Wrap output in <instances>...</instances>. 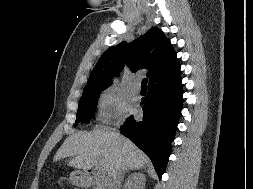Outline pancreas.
Returning <instances> with one entry per match:
<instances>
[{
	"mask_svg": "<svg viewBox=\"0 0 253 189\" xmlns=\"http://www.w3.org/2000/svg\"><path fill=\"white\" fill-rule=\"evenodd\" d=\"M93 189H102V185L101 184H97L96 187H94Z\"/></svg>",
	"mask_w": 253,
	"mask_h": 189,
	"instance_id": "obj_1",
	"label": "pancreas"
}]
</instances>
